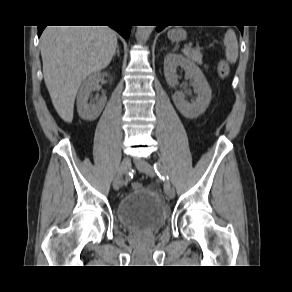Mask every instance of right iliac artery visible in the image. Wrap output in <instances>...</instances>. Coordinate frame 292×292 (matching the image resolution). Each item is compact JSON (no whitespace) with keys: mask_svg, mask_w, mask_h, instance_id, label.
Segmentation results:
<instances>
[{"mask_svg":"<svg viewBox=\"0 0 292 292\" xmlns=\"http://www.w3.org/2000/svg\"><path fill=\"white\" fill-rule=\"evenodd\" d=\"M133 181V175L131 172H129L126 176H124V179H120V182H128Z\"/></svg>","mask_w":292,"mask_h":292,"instance_id":"82829eb1","label":"right iliac artery"}]
</instances>
